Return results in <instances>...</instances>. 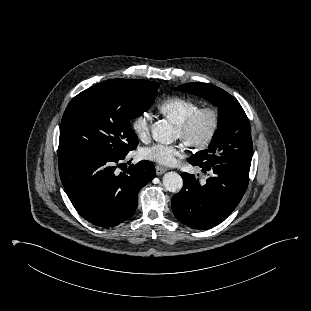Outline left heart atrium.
<instances>
[{"mask_svg": "<svg viewBox=\"0 0 311 311\" xmlns=\"http://www.w3.org/2000/svg\"><path fill=\"white\" fill-rule=\"evenodd\" d=\"M183 154V148L179 145H166L155 143L141 150L144 159L163 165H171Z\"/></svg>", "mask_w": 311, "mask_h": 311, "instance_id": "obj_1", "label": "left heart atrium"}]
</instances>
